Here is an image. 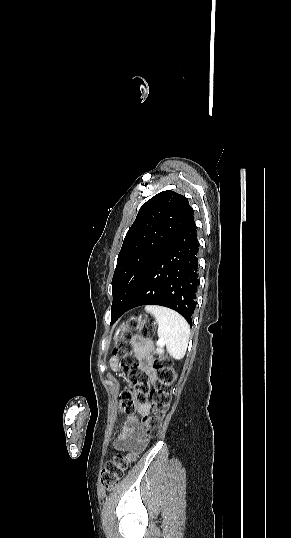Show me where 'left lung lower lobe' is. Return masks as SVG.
<instances>
[{
	"mask_svg": "<svg viewBox=\"0 0 291 538\" xmlns=\"http://www.w3.org/2000/svg\"><path fill=\"white\" fill-rule=\"evenodd\" d=\"M198 251L193 220L160 254L127 306L111 311V324L134 307L160 305L179 312L192 325L199 284Z\"/></svg>",
	"mask_w": 291,
	"mask_h": 538,
	"instance_id": "0a47b994",
	"label": "left lung lower lobe"
}]
</instances>
